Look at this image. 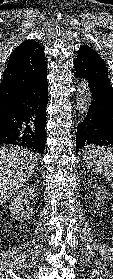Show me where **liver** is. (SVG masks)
<instances>
[{
	"instance_id": "6515ba94",
	"label": "liver",
	"mask_w": 113,
	"mask_h": 279,
	"mask_svg": "<svg viewBox=\"0 0 113 279\" xmlns=\"http://www.w3.org/2000/svg\"><path fill=\"white\" fill-rule=\"evenodd\" d=\"M38 155L21 147L0 148V205L10 200L34 173Z\"/></svg>"
}]
</instances>
